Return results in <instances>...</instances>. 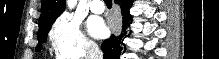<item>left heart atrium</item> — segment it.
Returning a JSON list of instances; mask_svg holds the SVG:
<instances>
[{
    "mask_svg": "<svg viewBox=\"0 0 219 59\" xmlns=\"http://www.w3.org/2000/svg\"><path fill=\"white\" fill-rule=\"evenodd\" d=\"M87 29L95 38H103L107 34V27L104 21L99 17H91L87 21Z\"/></svg>",
    "mask_w": 219,
    "mask_h": 59,
    "instance_id": "1",
    "label": "left heart atrium"
}]
</instances>
